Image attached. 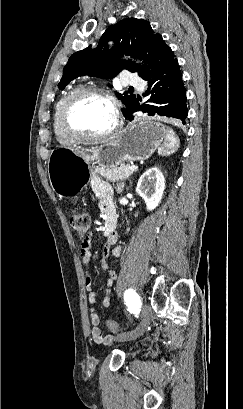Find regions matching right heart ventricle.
I'll list each match as a JSON object with an SVG mask.
<instances>
[{"label": "right heart ventricle", "instance_id": "obj_1", "mask_svg": "<svg viewBox=\"0 0 243 409\" xmlns=\"http://www.w3.org/2000/svg\"><path fill=\"white\" fill-rule=\"evenodd\" d=\"M81 89L80 86L76 85L68 89L62 96L57 100L54 106L53 111V129L57 138V141L62 145H71L75 143V140L72 139L63 129L61 123V113L67 98L74 93L75 91Z\"/></svg>", "mask_w": 243, "mask_h": 409}]
</instances>
